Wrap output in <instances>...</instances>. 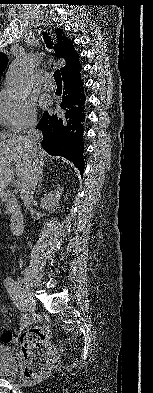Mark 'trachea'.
<instances>
[{
	"label": "trachea",
	"mask_w": 153,
	"mask_h": 393,
	"mask_svg": "<svg viewBox=\"0 0 153 393\" xmlns=\"http://www.w3.org/2000/svg\"><path fill=\"white\" fill-rule=\"evenodd\" d=\"M42 35H43V38H44V41H45V43H46V46L50 49V48H52V41H51V39H50V37H49V35L46 33V32H42ZM54 79H55V82H56V84H62V77H61V72H60V70H56L55 72H54Z\"/></svg>",
	"instance_id": "1"
}]
</instances>
